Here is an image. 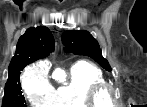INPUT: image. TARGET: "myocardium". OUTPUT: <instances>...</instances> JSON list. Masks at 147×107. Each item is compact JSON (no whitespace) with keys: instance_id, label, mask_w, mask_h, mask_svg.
<instances>
[{"instance_id":"obj_1","label":"myocardium","mask_w":147,"mask_h":107,"mask_svg":"<svg viewBox=\"0 0 147 107\" xmlns=\"http://www.w3.org/2000/svg\"><path fill=\"white\" fill-rule=\"evenodd\" d=\"M88 101L92 107H107L115 103L113 87L107 83L94 86L89 92Z\"/></svg>"}]
</instances>
